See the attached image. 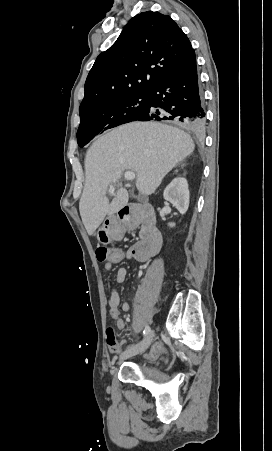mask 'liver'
I'll use <instances>...</instances> for the list:
<instances>
[{"label": "liver", "mask_w": 272, "mask_h": 451, "mask_svg": "<svg viewBox=\"0 0 272 451\" xmlns=\"http://www.w3.org/2000/svg\"><path fill=\"white\" fill-rule=\"evenodd\" d=\"M195 150L186 132L160 122H131L100 136L85 158V186L79 202L80 216L92 235L106 216L127 206L129 196L119 188L109 202L106 190L119 182L125 170L136 172V188L153 194L176 164Z\"/></svg>", "instance_id": "1"}]
</instances>
